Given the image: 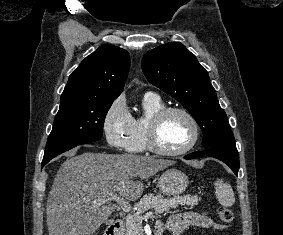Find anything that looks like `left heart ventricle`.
Wrapping results in <instances>:
<instances>
[{
  "mask_svg": "<svg viewBox=\"0 0 283 235\" xmlns=\"http://www.w3.org/2000/svg\"><path fill=\"white\" fill-rule=\"evenodd\" d=\"M192 127L188 119L180 113H171L161 122L157 132V143L168 151L178 150L190 141Z\"/></svg>",
  "mask_w": 283,
  "mask_h": 235,
  "instance_id": "left-heart-ventricle-1",
  "label": "left heart ventricle"
}]
</instances>
